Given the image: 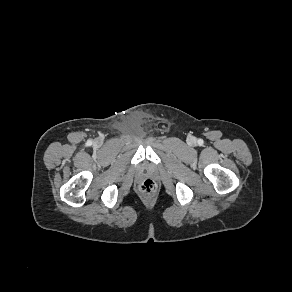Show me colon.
<instances>
[{"label":"colon","instance_id":"5ec220e1","mask_svg":"<svg viewBox=\"0 0 292 292\" xmlns=\"http://www.w3.org/2000/svg\"><path fill=\"white\" fill-rule=\"evenodd\" d=\"M157 185L152 179H145L141 183V191L145 194H152L156 191Z\"/></svg>","mask_w":292,"mask_h":292}]
</instances>
